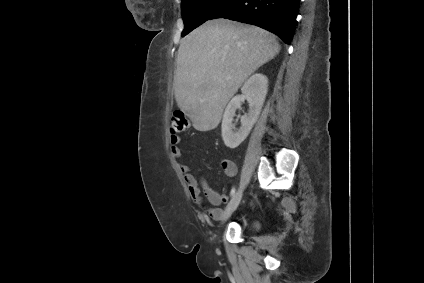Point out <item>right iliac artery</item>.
Listing matches in <instances>:
<instances>
[{
  "label": "right iliac artery",
  "mask_w": 424,
  "mask_h": 283,
  "mask_svg": "<svg viewBox=\"0 0 424 283\" xmlns=\"http://www.w3.org/2000/svg\"><path fill=\"white\" fill-rule=\"evenodd\" d=\"M235 191H236V189H235V187H233V188H232V190H231V192H230V196H231V197H232V196H234Z\"/></svg>",
  "instance_id": "1"
}]
</instances>
